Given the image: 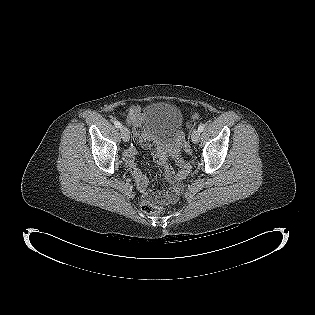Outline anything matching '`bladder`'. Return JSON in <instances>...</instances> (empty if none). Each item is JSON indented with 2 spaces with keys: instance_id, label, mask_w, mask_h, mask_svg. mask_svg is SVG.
Masks as SVG:
<instances>
[{
  "instance_id": "1",
  "label": "bladder",
  "mask_w": 315,
  "mask_h": 315,
  "mask_svg": "<svg viewBox=\"0 0 315 315\" xmlns=\"http://www.w3.org/2000/svg\"><path fill=\"white\" fill-rule=\"evenodd\" d=\"M141 128L148 137L166 144H174L183 134V116L174 106L151 105L143 112Z\"/></svg>"
}]
</instances>
